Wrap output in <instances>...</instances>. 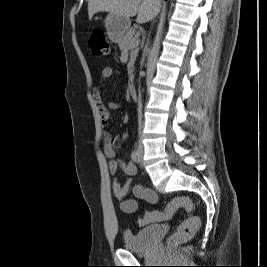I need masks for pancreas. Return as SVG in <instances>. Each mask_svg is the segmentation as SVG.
<instances>
[{
	"mask_svg": "<svg viewBox=\"0 0 267 267\" xmlns=\"http://www.w3.org/2000/svg\"><path fill=\"white\" fill-rule=\"evenodd\" d=\"M135 28H129L126 34L122 37L119 42L120 50H130L131 51V62L128 65V71L131 73L133 68L134 59L137 53V46L139 44L138 40L134 38Z\"/></svg>",
	"mask_w": 267,
	"mask_h": 267,
	"instance_id": "cf45deb5",
	"label": "pancreas"
}]
</instances>
